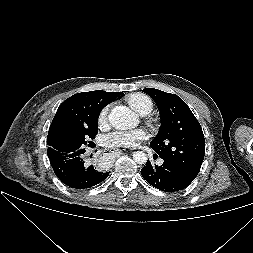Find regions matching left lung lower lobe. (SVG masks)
I'll use <instances>...</instances> for the list:
<instances>
[{"mask_svg":"<svg viewBox=\"0 0 253 253\" xmlns=\"http://www.w3.org/2000/svg\"><path fill=\"white\" fill-rule=\"evenodd\" d=\"M163 160L160 166L152 165L148 160L141 169L142 177L153 187L164 192H175L185 189L194 180V176L176 163Z\"/></svg>","mask_w":253,"mask_h":253,"instance_id":"left-lung-lower-lobe-1","label":"left lung lower lobe"}]
</instances>
